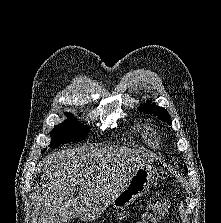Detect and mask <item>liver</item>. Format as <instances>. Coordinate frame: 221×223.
Segmentation results:
<instances>
[{
  "mask_svg": "<svg viewBox=\"0 0 221 223\" xmlns=\"http://www.w3.org/2000/svg\"><path fill=\"white\" fill-rule=\"evenodd\" d=\"M153 161L149 152L122 146L77 147L49 154L39 163L43 174L38 223L98 219L135 170Z\"/></svg>",
  "mask_w": 221,
  "mask_h": 223,
  "instance_id": "liver-1",
  "label": "liver"
}]
</instances>
